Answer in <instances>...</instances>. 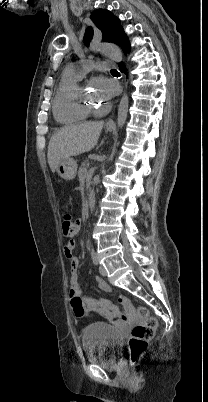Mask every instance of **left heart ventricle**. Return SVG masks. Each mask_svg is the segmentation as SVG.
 Masks as SVG:
<instances>
[{
  "instance_id": "1",
  "label": "left heart ventricle",
  "mask_w": 208,
  "mask_h": 402,
  "mask_svg": "<svg viewBox=\"0 0 208 402\" xmlns=\"http://www.w3.org/2000/svg\"><path fill=\"white\" fill-rule=\"evenodd\" d=\"M84 95H85V94H84ZM101 96H102V94L98 95L97 97H87V96L85 95L84 101H85L86 103H95V102L101 100Z\"/></svg>"
}]
</instances>
